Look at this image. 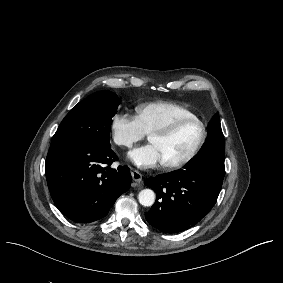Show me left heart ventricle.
<instances>
[{"instance_id": "b2bd125f", "label": "left heart ventricle", "mask_w": 283, "mask_h": 283, "mask_svg": "<svg viewBox=\"0 0 283 283\" xmlns=\"http://www.w3.org/2000/svg\"><path fill=\"white\" fill-rule=\"evenodd\" d=\"M200 134V125L191 121L182 124L170 138L151 137L150 142L161 149L165 163H175L192 151Z\"/></svg>"}]
</instances>
